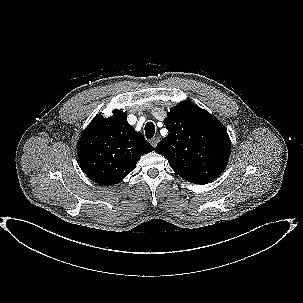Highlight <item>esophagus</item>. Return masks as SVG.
I'll return each mask as SVG.
<instances>
[{
	"label": "esophagus",
	"mask_w": 303,
	"mask_h": 303,
	"mask_svg": "<svg viewBox=\"0 0 303 303\" xmlns=\"http://www.w3.org/2000/svg\"><path fill=\"white\" fill-rule=\"evenodd\" d=\"M159 140H160L159 137H154L151 139L150 143L152 144L153 147H156Z\"/></svg>",
	"instance_id": "34e87169"
}]
</instances>
